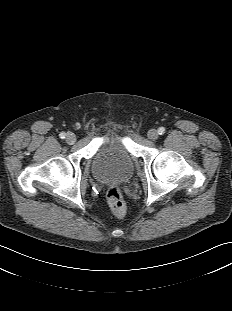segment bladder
I'll return each instance as SVG.
<instances>
[{
  "label": "bladder",
  "mask_w": 232,
  "mask_h": 311,
  "mask_svg": "<svg viewBox=\"0 0 232 311\" xmlns=\"http://www.w3.org/2000/svg\"><path fill=\"white\" fill-rule=\"evenodd\" d=\"M92 170L94 176L101 180L122 182L131 176L133 161L120 138H109L100 144Z\"/></svg>",
  "instance_id": "31cf9c89"
}]
</instances>
